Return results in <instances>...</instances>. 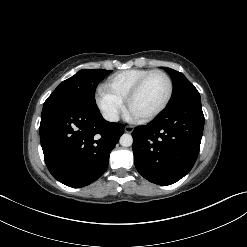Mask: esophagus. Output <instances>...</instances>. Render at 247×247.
<instances>
[{"instance_id": "esophagus-1", "label": "esophagus", "mask_w": 247, "mask_h": 247, "mask_svg": "<svg viewBox=\"0 0 247 247\" xmlns=\"http://www.w3.org/2000/svg\"><path fill=\"white\" fill-rule=\"evenodd\" d=\"M124 131H125L126 133H132V132H133V127L127 125V126H125Z\"/></svg>"}]
</instances>
